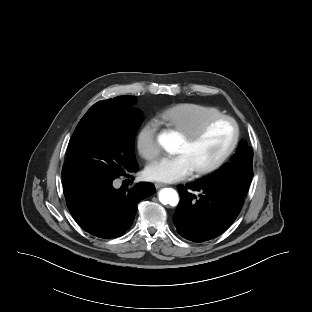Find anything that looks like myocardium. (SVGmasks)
<instances>
[{"instance_id":"myocardium-1","label":"myocardium","mask_w":312,"mask_h":312,"mask_svg":"<svg viewBox=\"0 0 312 312\" xmlns=\"http://www.w3.org/2000/svg\"><path fill=\"white\" fill-rule=\"evenodd\" d=\"M219 121H228L233 125V127H234L233 140H232L230 146L227 148V150L218 159H216L215 161H213L212 163H210L208 165H205L203 167L195 169L194 171L198 175H203V174H207L209 172H212V171L216 170L217 168H219L221 165H223L228 160V158L233 154V152L235 151V149L239 143L240 126H239L238 122L236 121V119L233 118L232 116L220 114V115H217L215 117H212V118L206 120L196 130L191 131V132L186 133V134H183L184 138L187 140V142L194 143L198 139H200L208 131V129L212 125H214L215 123H217Z\"/></svg>"}]
</instances>
